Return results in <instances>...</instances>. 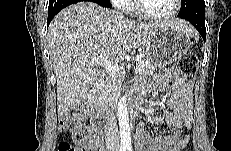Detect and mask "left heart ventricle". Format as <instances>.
<instances>
[{
    "mask_svg": "<svg viewBox=\"0 0 231 151\" xmlns=\"http://www.w3.org/2000/svg\"><path fill=\"white\" fill-rule=\"evenodd\" d=\"M142 9L152 15H163L173 8V0H141Z\"/></svg>",
    "mask_w": 231,
    "mask_h": 151,
    "instance_id": "left-heart-ventricle-1",
    "label": "left heart ventricle"
}]
</instances>
